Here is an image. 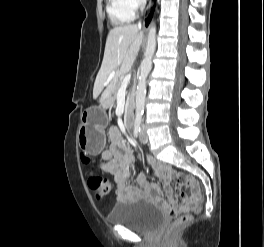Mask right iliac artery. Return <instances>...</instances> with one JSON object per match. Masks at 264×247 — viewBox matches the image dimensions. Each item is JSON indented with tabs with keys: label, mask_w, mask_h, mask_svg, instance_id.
<instances>
[{
	"label": "right iliac artery",
	"mask_w": 264,
	"mask_h": 247,
	"mask_svg": "<svg viewBox=\"0 0 264 247\" xmlns=\"http://www.w3.org/2000/svg\"><path fill=\"white\" fill-rule=\"evenodd\" d=\"M141 131V121H135L133 134L134 137H138Z\"/></svg>",
	"instance_id": "obj_1"
}]
</instances>
